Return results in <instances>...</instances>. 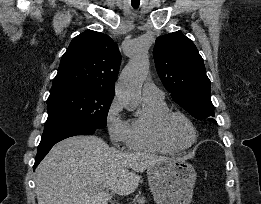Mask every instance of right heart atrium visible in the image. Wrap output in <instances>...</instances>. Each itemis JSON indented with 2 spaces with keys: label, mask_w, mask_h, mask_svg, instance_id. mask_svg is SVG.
<instances>
[{
  "label": "right heart atrium",
  "mask_w": 261,
  "mask_h": 204,
  "mask_svg": "<svg viewBox=\"0 0 261 204\" xmlns=\"http://www.w3.org/2000/svg\"><path fill=\"white\" fill-rule=\"evenodd\" d=\"M123 105L114 97L110 102L106 115L105 125L111 142L116 146L128 144L129 122L122 117Z\"/></svg>",
  "instance_id": "d8ad5b80"
}]
</instances>
